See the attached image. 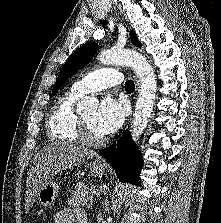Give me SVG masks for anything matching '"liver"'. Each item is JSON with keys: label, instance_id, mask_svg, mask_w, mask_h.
Here are the masks:
<instances>
[{"label": "liver", "instance_id": "liver-1", "mask_svg": "<svg viewBox=\"0 0 221 223\" xmlns=\"http://www.w3.org/2000/svg\"><path fill=\"white\" fill-rule=\"evenodd\" d=\"M95 152L70 142L56 141L35 154L27 177L25 208L29 210L40 188L56 173L92 158Z\"/></svg>", "mask_w": 221, "mask_h": 223}]
</instances>
